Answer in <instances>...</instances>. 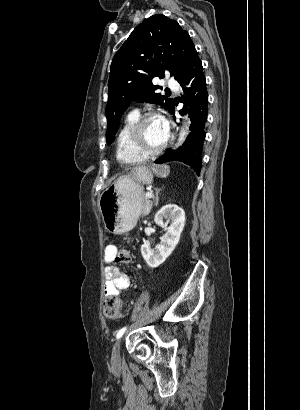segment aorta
Returning a JSON list of instances; mask_svg holds the SVG:
<instances>
[{
    "mask_svg": "<svg viewBox=\"0 0 300 410\" xmlns=\"http://www.w3.org/2000/svg\"><path fill=\"white\" fill-rule=\"evenodd\" d=\"M186 135H187V126L185 125V126L182 128V130H181V132H180V134H179V139H178V143H177L176 146H179V145H181V144L183 143V141H184L185 138H186Z\"/></svg>",
    "mask_w": 300,
    "mask_h": 410,
    "instance_id": "aorta-1",
    "label": "aorta"
}]
</instances>
